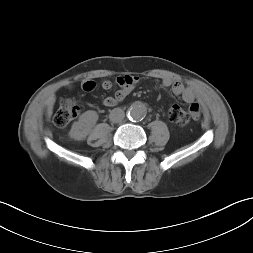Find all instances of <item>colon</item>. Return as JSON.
I'll return each mask as SVG.
<instances>
[{
    "mask_svg": "<svg viewBox=\"0 0 253 253\" xmlns=\"http://www.w3.org/2000/svg\"><path fill=\"white\" fill-rule=\"evenodd\" d=\"M80 114V107L75 99L65 98L61 100L59 108L54 115V124L57 127H65ZM169 120L179 126L189 123L190 117L185 114V110L179 105L171 104L168 110Z\"/></svg>",
    "mask_w": 253,
    "mask_h": 253,
    "instance_id": "5ec220e1",
    "label": "colon"
}]
</instances>
